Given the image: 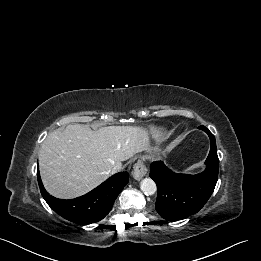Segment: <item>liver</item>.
Segmentation results:
<instances>
[{
	"label": "liver",
	"instance_id": "1",
	"mask_svg": "<svg viewBox=\"0 0 261 261\" xmlns=\"http://www.w3.org/2000/svg\"><path fill=\"white\" fill-rule=\"evenodd\" d=\"M148 140V131L136 126L93 131L75 124L54 130L39 152L43 184L57 198L81 196L104 182L114 166L147 150Z\"/></svg>",
	"mask_w": 261,
	"mask_h": 261
}]
</instances>
